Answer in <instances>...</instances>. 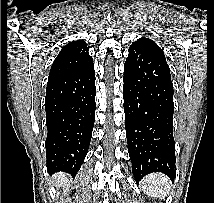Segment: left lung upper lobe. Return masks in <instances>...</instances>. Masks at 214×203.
<instances>
[{"label":"left lung upper lobe","instance_id":"left-lung-upper-lobe-1","mask_svg":"<svg viewBox=\"0 0 214 203\" xmlns=\"http://www.w3.org/2000/svg\"><path fill=\"white\" fill-rule=\"evenodd\" d=\"M129 49L149 52L166 61L163 50L153 40L148 38L138 39L132 43Z\"/></svg>","mask_w":214,"mask_h":203}]
</instances>
